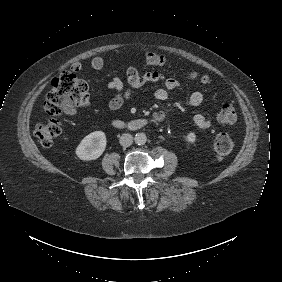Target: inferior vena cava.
Here are the masks:
<instances>
[{
  "mask_svg": "<svg viewBox=\"0 0 282 282\" xmlns=\"http://www.w3.org/2000/svg\"><path fill=\"white\" fill-rule=\"evenodd\" d=\"M119 142L123 147H129L133 143V136L129 133H124L121 135Z\"/></svg>",
  "mask_w": 282,
  "mask_h": 282,
  "instance_id": "obj_1",
  "label": "inferior vena cava"
}]
</instances>
